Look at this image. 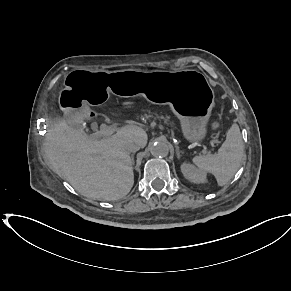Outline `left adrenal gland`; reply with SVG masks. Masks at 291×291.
<instances>
[{
    "label": "left adrenal gland",
    "instance_id": "a2214340",
    "mask_svg": "<svg viewBox=\"0 0 291 291\" xmlns=\"http://www.w3.org/2000/svg\"><path fill=\"white\" fill-rule=\"evenodd\" d=\"M180 153H182V152L179 150V147L176 146V155H177L178 159H180V157H181Z\"/></svg>",
    "mask_w": 291,
    "mask_h": 291
}]
</instances>
